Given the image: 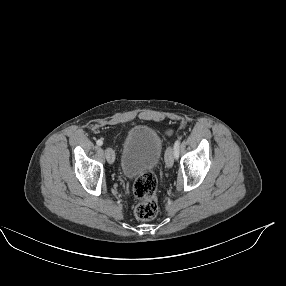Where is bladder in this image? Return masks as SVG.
<instances>
[{
    "mask_svg": "<svg viewBox=\"0 0 286 286\" xmlns=\"http://www.w3.org/2000/svg\"><path fill=\"white\" fill-rule=\"evenodd\" d=\"M162 156V139L155 129L135 126L127 132L121 148L120 171L133 180L157 168Z\"/></svg>",
    "mask_w": 286,
    "mask_h": 286,
    "instance_id": "bladder-1",
    "label": "bladder"
}]
</instances>
